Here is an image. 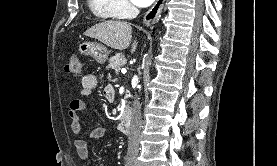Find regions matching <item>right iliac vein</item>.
I'll return each instance as SVG.
<instances>
[{
	"label": "right iliac vein",
	"mask_w": 277,
	"mask_h": 166,
	"mask_svg": "<svg viewBox=\"0 0 277 166\" xmlns=\"http://www.w3.org/2000/svg\"><path fill=\"white\" fill-rule=\"evenodd\" d=\"M128 166H134V164L133 163H129Z\"/></svg>",
	"instance_id": "obj_1"
}]
</instances>
